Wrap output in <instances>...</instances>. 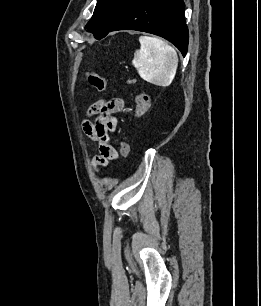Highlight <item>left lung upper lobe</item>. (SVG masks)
<instances>
[{"mask_svg":"<svg viewBox=\"0 0 261 306\" xmlns=\"http://www.w3.org/2000/svg\"><path fill=\"white\" fill-rule=\"evenodd\" d=\"M133 0H97L92 18L86 25L95 38L103 36L118 22Z\"/></svg>","mask_w":261,"mask_h":306,"instance_id":"1","label":"left lung upper lobe"}]
</instances>
